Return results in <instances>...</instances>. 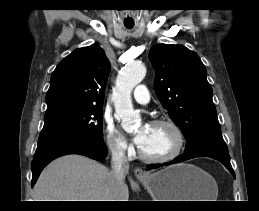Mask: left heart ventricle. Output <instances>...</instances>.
<instances>
[{
    "mask_svg": "<svg viewBox=\"0 0 259 211\" xmlns=\"http://www.w3.org/2000/svg\"><path fill=\"white\" fill-rule=\"evenodd\" d=\"M173 145L174 136L168 127L149 125L146 138L140 148L148 155L161 156L169 153Z\"/></svg>",
    "mask_w": 259,
    "mask_h": 211,
    "instance_id": "obj_1",
    "label": "left heart ventricle"
}]
</instances>
